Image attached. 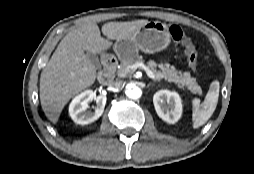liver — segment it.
Here are the masks:
<instances>
[{
    "label": "liver",
    "mask_w": 254,
    "mask_h": 174,
    "mask_svg": "<svg viewBox=\"0 0 254 174\" xmlns=\"http://www.w3.org/2000/svg\"><path fill=\"white\" fill-rule=\"evenodd\" d=\"M148 20L108 22L101 37L96 23L89 22L73 29L61 40L40 76V102L46 117L57 123L67 102L96 80V68L85 51L101 54L110 40H121L135 34Z\"/></svg>",
    "instance_id": "liver-1"
}]
</instances>
